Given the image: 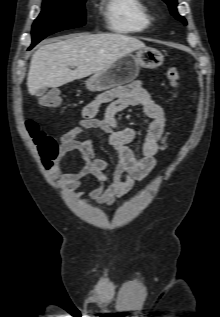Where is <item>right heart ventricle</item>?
<instances>
[{
  "instance_id": "obj_1",
  "label": "right heart ventricle",
  "mask_w": 220,
  "mask_h": 317,
  "mask_svg": "<svg viewBox=\"0 0 220 317\" xmlns=\"http://www.w3.org/2000/svg\"><path fill=\"white\" fill-rule=\"evenodd\" d=\"M102 1L106 24L113 32L137 34L151 27L153 17L143 0Z\"/></svg>"
}]
</instances>
